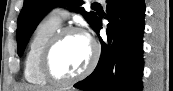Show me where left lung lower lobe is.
<instances>
[{"label":"left lung lower lobe","mask_w":173,"mask_h":91,"mask_svg":"<svg viewBox=\"0 0 173 91\" xmlns=\"http://www.w3.org/2000/svg\"><path fill=\"white\" fill-rule=\"evenodd\" d=\"M107 41L92 74L74 87L86 91H142L144 0H107ZM102 21L94 30L99 34Z\"/></svg>","instance_id":"0a47b994"}]
</instances>
